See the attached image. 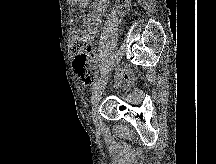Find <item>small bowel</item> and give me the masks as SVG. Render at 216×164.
Listing matches in <instances>:
<instances>
[{
    "mask_svg": "<svg viewBox=\"0 0 216 164\" xmlns=\"http://www.w3.org/2000/svg\"><path fill=\"white\" fill-rule=\"evenodd\" d=\"M85 20H97V21H98V17H97L96 15L92 14V13H89V14L86 15ZM96 30H97V26H95V27L90 31L89 35L87 36V39H88V40H90V39L93 37V35L96 33ZM123 79H129L128 74L125 73V72H119V73L117 74V80H118V81H121V80H123Z\"/></svg>",
    "mask_w": 216,
    "mask_h": 164,
    "instance_id": "1",
    "label": "small bowel"
}]
</instances>
